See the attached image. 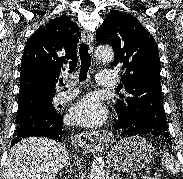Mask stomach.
Listing matches in <instances>:
<instances>
[{"label":"stomach","instance_id":"1","mask_svg":"<svg viewBox=\"0 0 183 179\" xmlns=\"http://www.w3.org/2000/svg\"><path fill=\"white\" fill-rule=\"evenodd\" d=\"M152 153V145L144 137L134 135L117 142L110 152V158L115 170L136 172L148 166Z\"/></svg>","mask_w":183,"mask_h":179}]
</instances>
